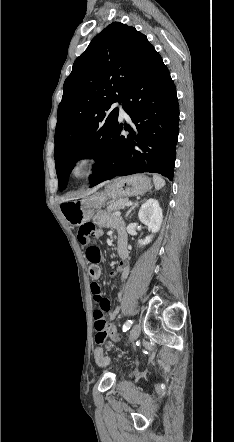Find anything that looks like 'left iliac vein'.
Returning a JSON list of instances; mask_svg holds the SVG:
<instances>
[{
  "mask_svg": "<svg viewBox=\"0 0 234 442\" xmlns=\"http://www.w3.org/2000/svg\"><path fill=\"white\" fill-rule=\"evenodd\" d=\"M141 333V326L139 324H136L132 327L130 334H129V341L132 342L136 340Z\"/></svg>",
  "mask_w": 234,
  "mask_h": 442,
  "instance_id": "4c4485c4",
  "label": "left iliac vein"
}]
</instances>
